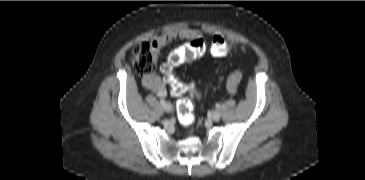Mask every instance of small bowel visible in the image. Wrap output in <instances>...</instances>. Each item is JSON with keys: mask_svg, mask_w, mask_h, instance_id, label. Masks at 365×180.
Segmentation results:
<instances>
[{"mask_svg": "<svg viewBox=\"0 0 365 180\" xmlns=\"http://www.w3.org/2000/svg\"><path fill=\"white\" fill-rule=\"evenodd\" d=\"M200 32L195 29H181L178 31H174L163 35L157 39H154L150 42V45L155 50L156 54H158L165 46L171 43L175 39L180 40H194L199 38ZM164 72V70H163ZM144 84L159 95H164L166 93V87L164 82L162 81L160 76L151 75L144 79Z\"/></svg>", "mask_w": 365, "mask_h": 180, "instance_id": "small-bowel-1", "label": "small bowel"}]
</instances>
